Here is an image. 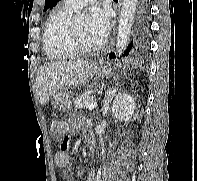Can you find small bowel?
<instances>
[{"label":"small bowel","instance_id":"small-bowel-1","mask_svg":"<svg viewBox=\"0 0 197 181\" xmlns=\"http://www.w3.org/2000/svg\"><path fill=\"white\" fill-rule=\"evenodd\" d=\"M83 126V119L81 117L72 118L69 122V125L61 124V134L67 132L68 129L71 130H78ZM89 130L84 128V135L85 137L89 134ZM55 164L62 168L65 171V175L67 178L70 177L69 167L71 165L70 156L68 151L64 148L58 150L54 155ZM87 181H95V175L91 172L88 175Z\"/></svg>","mask_w":197,"mask_h":181}]
</instances>
